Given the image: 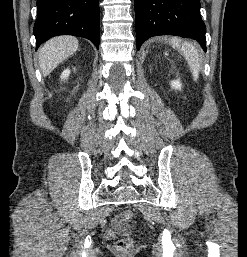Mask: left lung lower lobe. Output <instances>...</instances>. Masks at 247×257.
<instances>
[{
  "label": "left lung lower lobe",
  "mask_w": 247,
  "mask_h": 257,
  "mask_svg": "<svg viewBox=\"0 0 247 257\" xmlns=\"http://www.w3.org/2000/svg\"><path fill=\"white\" fill-rule=\"evenodd\" d=\"M137 49L158 35H176L197 40L206 51V27L199 0H134Z\"/></svg>",
  "instance_id": "left-lung-lower-lobe-1"
}]
</instances>
